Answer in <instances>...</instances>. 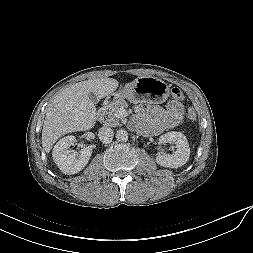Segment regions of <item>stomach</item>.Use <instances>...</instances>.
<instances>
[{"mask_svg": "<svg viewBox=\"0 0 253 253\" xmlns=\"http://www.w3.org/2000/svg\"><path fill=\"white\" fill-rule=\"evenodd\" d=\"M169 93V85L161 79L152 76H142L137 78L133 85L109 94L107 101L115 103L122 99H127L131 103L148 102L160 104L168 99Z\"/></svg>", "mask_w": 253, "mask_h": 253, "instance_id": "obj_1", "label": "stomach"}]
</instances>
